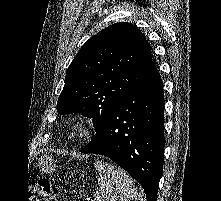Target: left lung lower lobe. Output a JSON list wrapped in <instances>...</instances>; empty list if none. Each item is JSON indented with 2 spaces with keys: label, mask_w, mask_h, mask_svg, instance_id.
<instances>
[{
  "label": "left lung lower lobe",
  "mask_w": 221,
  "mask_h": 201,
  "mask_svg": "<svg viewBox=\"0 0 221 201\" xmlns=\"http://www.w3.org/2000/svg\"><path fill=\"white\" fill-rule=\"evenodd\" d=\"M163 83L156 70L112 110L82 153L106 155L125 169L157 200L164 151Z\"/></svg>",
  "instance_id": "left-lung-lower-lobe-1"
}]
</instances>
